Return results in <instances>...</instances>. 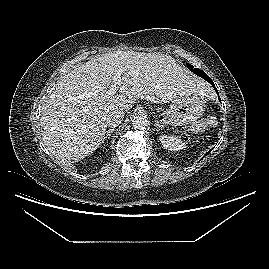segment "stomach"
Segmentation results:
<instances>
[{
  "instance_id": "0dacf381",
  "label": "stomach",
  "mask_w": 269,
  "mask_h": 269,
  "mask_svg": "<svg viewBox=\"0 0 269 269\" xmlns=\"http://www.w3.org/2000/svg\"><path fill=\"white\" fill-rule=\"evenodd\" d=\"M206 100L198 94H190L174 99L163 112V123L183 126L198 120L205 110Z\"/></svg>"
}]
</instances>
